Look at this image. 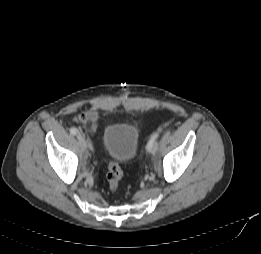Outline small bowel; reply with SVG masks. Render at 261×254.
<instances>
[{
    "label": "small bowel",
    "instance_id": "c3829d8e",
    "mask_svg": "<svg viewBox=\"0 0 261 254\" xmlns=\"http://www.w3.org/2000/svg\"><path fill=\"white\" fill-rule=\"evenodd\" d=\"M76 121L85 125L90 133H94L101 121V118L96 110L90 109L80 113L76 117Z\"/></svg>",
    "mask_w": 261,
    "mask_h": 254
}]
</instances>
